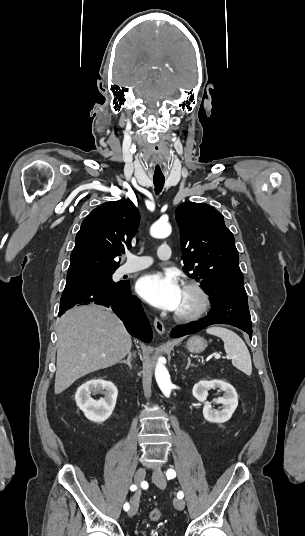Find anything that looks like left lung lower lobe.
I'll return each instance as SVG.
<instances>
[{
	"label": "left lung lower lobe",
	"instance_id": "left-lung-lower-lobe-1",
	"mask_svg": "<svg viewBox=\"0 0 305 536\" xmlns=\"http://www.w3.org/2000/svg\"><path fill=\"white\" fill-rule=\"evenodd\" d=\"M212 309L207 317L172 329L171 336L178 338L196 333L209 325L229 324L247 332L252 338V323L248 309L246 293H216L211 294Z\"/></svg>",
	"mask_w": 305,
	"mask_h": 536
}]
</instances>
